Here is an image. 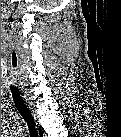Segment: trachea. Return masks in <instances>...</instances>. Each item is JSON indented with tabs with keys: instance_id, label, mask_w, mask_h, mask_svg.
<instances>
[{
	"instance_id": "3493384b",
	"label": "trachea",
	"mask_w": 121,
	"mask_h": 137,
	"mask_svg": "<svg viewBox=\"0 0 121 137\" xmlns=\"http://www.w3.org/2000/svg\"><path fill=\"white\" fill-rule=\"evenodd\" d=\"M10 90L12 92V96H13L16 108L18 109L19 113L22 115L23 119L27 122L28 128L30 130H33L34 129V121L32 119V116H31L27 106L25 105L24 101L20 97L18 90L16 89V87H14L12 85L10 86Z\"/></svg>"
}]
</instances>
